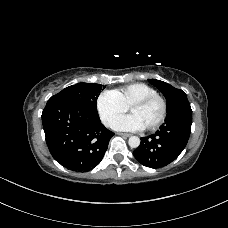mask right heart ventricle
Here are the masks:
<instances>
[{
    "instance_id": "1",
    "label": "right heart ventricle",
    "mask_w": 228,
    "mask_h": 228,
    "mask_svg": "<svg viewBox=\"0 0 228 228\" xmlns=\"http://www.w3.org/2000/svg\"><path fill=\"white\" fill-rule=\"evenodd\" d=\"M120 101L129 107L134 101L145 96L157 94V91L152 86L145 83H133L114 90Z\"/></svg>"
}]
</instances>
